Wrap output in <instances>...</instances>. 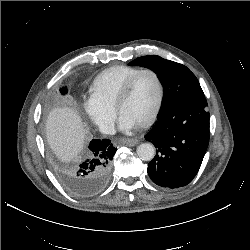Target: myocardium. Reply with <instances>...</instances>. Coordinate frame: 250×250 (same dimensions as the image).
<instances>
[{
	"label": "myocardium",
	"instance_id": "f54148a6",
	"mask_svg": "<svg viewBox=\"0 0 250 250\" xmlns=\"http://www.w3.org/2000/svg\"><path fill=\"white\" fill-rule=\"evenodd\" d=\"M144 73H150L155 78L158 88V98L155 109L153 110L152 114L140 125H138L139 128H145L153 124L158 118L163 107L164 96H165L164 85L160 75L155 70L150 68H143L140 69L138 72H136L132 77H130L129 80L123 85L122 89L120 90L114 105L116 113L120 115L121 106L128 99L131 90L134 86V83L136 82L137 78Z\"/></svg>",
	"mask_w": 250,
	"mask_h": 250
}]
</instances>
